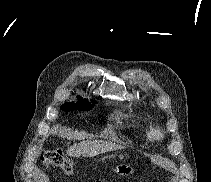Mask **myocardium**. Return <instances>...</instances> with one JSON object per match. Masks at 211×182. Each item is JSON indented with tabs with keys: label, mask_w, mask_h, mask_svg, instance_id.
I'll use <instances>...</instances> for the list:
<instances>
[{
	"label": "myocardium",
	"mask_w": 211,
	"mask_h": 182,
	"mask_svg": "<svg viewBox=\"0 0 211 182\" xmlns=\"http://www.w3.org/2000/svg\"><path fill=\"white\" fill-rule=\"evenodd\" d=\"M148 137L152 140H159L162 138V132L158 128H151L148 131Z\"/></svg>",
	"instance_id": "obj_1"
}]
</instances>
